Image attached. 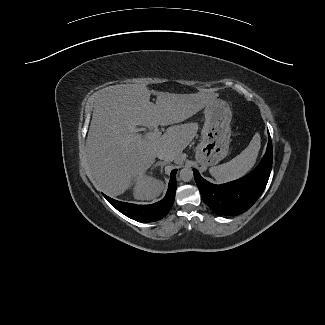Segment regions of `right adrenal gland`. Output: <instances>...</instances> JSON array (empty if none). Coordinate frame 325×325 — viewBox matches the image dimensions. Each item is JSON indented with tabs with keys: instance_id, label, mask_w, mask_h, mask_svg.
I'll return each mask as SVG.
<instances>
[{
	"instance_id": "right-adrenal-gland-1",
	"label": "right adrenal gland",
	"mask_w": 325,
	"mask_h": 325,
	"mask_svg": "<svg viewBox=\"0 0 325 325\" xmlns=\"http://www.w3.org/2000/svg\"><path fill=\"white\" fill-rule=\"evenodd\" d=\"M167 164V162H162V161H159V162H156L154 165H153V167H152V169H154V168H156L157 166H160L161 167V173L163 172V167L165 166Z\"/></svg>"
}]
</instances>
